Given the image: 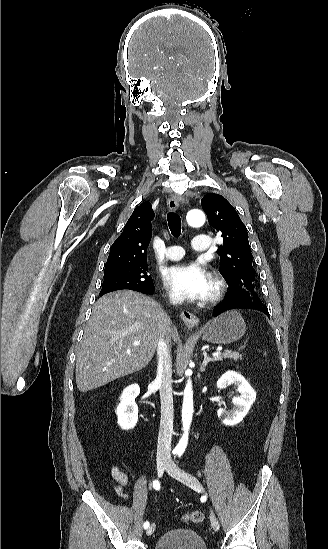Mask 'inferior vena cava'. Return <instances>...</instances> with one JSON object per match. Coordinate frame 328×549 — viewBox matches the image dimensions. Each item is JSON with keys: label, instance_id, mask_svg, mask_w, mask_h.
I'll return each mask as SVG.
<instances>
[{"label": "inferior vena cava", "instance_id": "obj_1", "mask_svg": "<svg viewBox=\"0 0 328 549\" xmlns=\"http://www.w3.org/2000/svg\"><path fill=\"white\" fill-rule=\"evenodd\" d=\"M169 343V337L159 339L157 343V379H159L161 399V421L157 447V455H159V457H166V455H169L173 433L172 361Z\"/></svg>", "mask_w": 328, "mask_h": 549}]
</instances>
